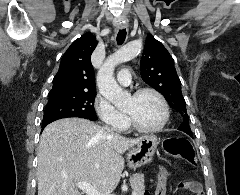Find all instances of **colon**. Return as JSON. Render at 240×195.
<instances>
[{
  "mask_svg": "<svg viewBox=\"0 0 240 195\" xmlns=\"http://www.w3.org/2000/svg\"><path fill=\"white\" fill-rule=\"evenodd\" d=\"M163 148L167 154L184 159L192 167L197 166V157L192 145L185 138L165 140ZM167 172L168 170L166 168H160L158 170V182L155 195H165V192H167ZM188 191L192 192L194 195H203L202 187L196 181H188Z\"/></svg>",
  "mask_w": 240,
  "mask_h": 195,
  "instance_id": "obj_1",
  "label": "colon"
}]
</instances>
